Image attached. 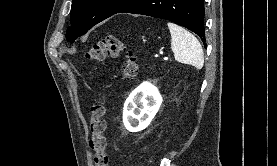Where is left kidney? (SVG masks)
Here are the masks:
<instances>
[{
  "instance_id": "5707ae66",
  "label": "left kidney",
  "mask_w": 277,
  "mask_h": 166,
  "mask_svg": "<svg viewBox=\"0 0 277 166\" xmlns=\"http://www.w3.org/2000/svg\"><path fill=\"white\" fill-rule=\"evenodd\" d=\"M162 104L157 87L142 83L126 99L123 108V123L130 132H139L151 123Z\"/></svg>"
}]
</instances>
